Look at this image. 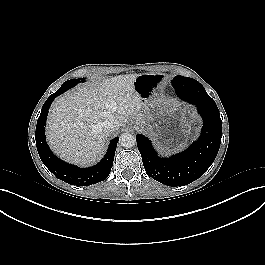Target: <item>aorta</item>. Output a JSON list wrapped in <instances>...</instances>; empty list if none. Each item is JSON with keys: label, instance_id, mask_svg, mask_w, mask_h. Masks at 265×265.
<instances>
[{"label": "aorta", "instance_id": "obj_1", "mask_svg": "<svg viewBox=\"0 0 265 265\" xmlns=\"http://www.w3.org/2000/svg\"><path fill=\"white\" fill-rule=\"evenodd\" d=\"M119 142H120L121 146H123L125 148H131V147L135 146L136 138L133 134L123 133V134H121V136L119 138Z\"/></svg>", "mask_w": 265, "mask_h": 265}]
</instances>
